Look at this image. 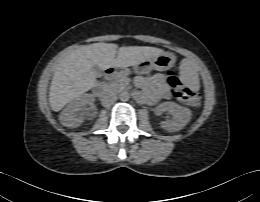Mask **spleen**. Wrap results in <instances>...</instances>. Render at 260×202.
Segmentation results:
<instances>
[{
  "label": "spleen",
  "mask_w": 260,
  "mask_h": 202,
  "mask_svg": "<svg viewBox=\"0 0 260 202\" xmlns=\"http://www.w3.org/2000/svg\"><path fill=\"white\" fill-rule=\"evenodd\" d=\"M182 75L186 79H188L189 77H193L194 78V73L191 72L189 69H184L183 72H182Z\"/></svg>",
  "instance_id": "1"
}]
</instances>
